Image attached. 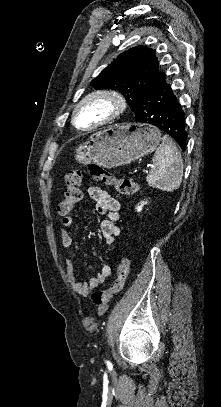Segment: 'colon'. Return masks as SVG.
Here are the masks:
<instances>
[{"instance_id": "5ec220e1", "label": "colon", "mask_w": 221, "mask_h": 407, "mask_svg": "<svg viewBox=\"0 0 221 407\" xmlns=\"http://www.w3.org/2000/svg\"><path fill=\"white\" fill-rule=\"evenodd\" d=\"M89 174L96 182L113 186L123 195H133L138 192L139 186L131 179L117 178L112 172L99 164L90 163L87 167ZM83 172L80 169L71 170L65 177V189L62 199L59 201L57 213L68 214L81 200ZM131 263L128 257H123L117 267V275L111 285L106 289H96L92 293V301L96 305V316L102 317L108 309L112 297L120 293L125 286L130 274Z\"/></svg>"}]
</instances>
